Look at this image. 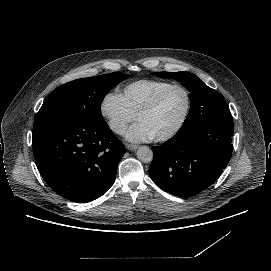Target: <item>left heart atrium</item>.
I'll list each match as a JSON object with an SVG mask.
<instances>
[{"instance_id": "obj_1", "label": "left heart atrium", "mask_w": 271, "mask_h": 271, "mask_svg": "<svg viewBox=\"0 0 271 271\" xmlns=\"http://www.w3.org/2000/svg\"><path fill=\"white\" fill-rule=\"evenodd\" d=\"M126 138L133 143H143L152 140L153 135L145 123L137 121L130 127Z\"/></svg>"}]
</instances>
